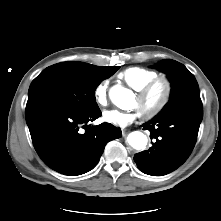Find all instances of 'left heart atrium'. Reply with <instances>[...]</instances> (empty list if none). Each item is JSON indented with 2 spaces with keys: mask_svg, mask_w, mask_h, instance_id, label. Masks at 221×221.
<instances>
[{
  "mask_svg": "<svg viewBox=\"0 0 221 221\" xmlns=\"http://www.w3.org/2000/svg\"><path fill=\"white\" fill-rule=\"evenodd\" d=\"M139 115L140 113L138 110L124 112L117 109H112L104 112V120L119 127H126L133 123L139 117Z\"/></svg>",
  "mask_w": 221,
  "mask_h": 221,
  "instance_id": "obj_1",
  "label": "left heart atrium"
}]
</instances>
